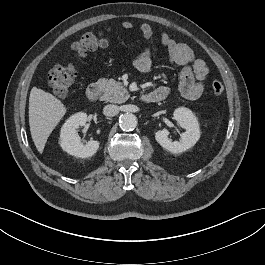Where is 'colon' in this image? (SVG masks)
<instances>
[{"label":"colon","mask_w":265,"mask_h":265,"mask_svg":"<svg viewBox=\"0 0 265 265\" xmlns=\"http://www.w3.org/2000/svg\"><path fill=\"white\" fill-rule=\"evenodd\" d=\"M106 45L107 40L102 34L86 33L79 41L72 44L71 50L74 54L81 55L87 51ZM75 78V67L69 62L55 65L49 72L48 81L51 89L57 96L65 97L69 94ZM210 89L214 96L220 97L223 94L224 86L222 82L214 81Z\"/></svg>","instance_id":"obj_1"}]
</instances>
